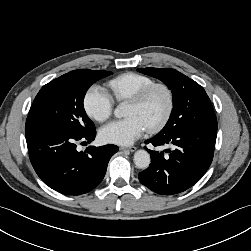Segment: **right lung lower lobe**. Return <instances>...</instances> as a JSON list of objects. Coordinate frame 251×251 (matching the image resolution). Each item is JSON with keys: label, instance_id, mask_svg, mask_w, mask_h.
I'll list each match as a JSON object with an SVG mask.
<instances>
[{"label": "right lung lower lobe", "instance_id": "right-lung-lower-lobe-1", "mask_svg": "<svg viewBox=\"0 0 251 251\" xmlns=\"http://www.w3.org/2000/svg\"><path fill=\"white\" fill-rule=\"evenodd\" d=\"M25 135L30 161L37 175L50 188L66 195H81L104 178L115 145L89 146L77 151L78 141L90 143L96 131L80 135L37 121H27Z\"/></svg>", "mask_w": 251, "mask_h": 251}]
</instances>
